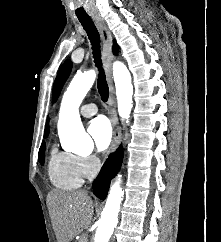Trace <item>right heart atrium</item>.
I'll use <instances>...</instances> for the list:
<instances>
[{"label": "right heart atrium", "instance_id": "right-heart-atrium-1", "mask_svg": "<svg viewBox=\"0 0 221 242\" xmlns=\"http://www.w3.org/2000/svg\"><path fill=\"white\" fill-rule=\"evenodd\" d=\"M77 167L82 177H88L99 169V160L95 155L77 156Z\"/></svg>", "mask_w": 221, "mask_h": 242}]
</instances>
